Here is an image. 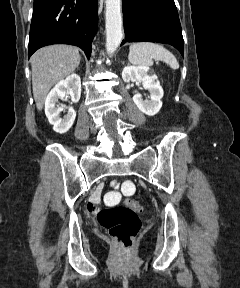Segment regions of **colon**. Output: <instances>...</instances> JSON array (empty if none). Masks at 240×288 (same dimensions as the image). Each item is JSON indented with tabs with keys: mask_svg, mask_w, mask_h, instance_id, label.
<instances>
[{
	"mask_svg": "<svg viewBox=\"0 0 240 288\" xmlns=\"http://www.w3.org/2000/svg\"><path fill=\"white\" fill-rule=\"evenodd\" d=\"M123 189L130 193L133 185L124 183ZM143 211L139 201L129 200L126 205L105 208L97 214L98 223L108 232L109 236L125 251L132 248L141 228L138 216Z\"/></svg>",
	"mask_w": 240,
	"mask_h": 288,
	"instance_id": "obj_1",
	"label": "colon"
}]
</instances>
